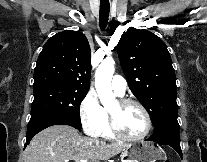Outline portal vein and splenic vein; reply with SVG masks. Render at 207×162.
Here are the masks:
<instances>
[{"label": "portal vein and splenic vein", "instance_id": "1", "mask_svg": "<svg viewBox=\"0 0 207 162\" xmlns=\"http://www.w3.org/2000/svg\"><path fill=\"white\" fill-rule=\"evenodd\" d=\"M65 162H68L67 160H65ZM77 162H88L87 160H80V161H77Z\"/></svg>", "mask_w": 207, "mask_h": 162}]
</instances>
